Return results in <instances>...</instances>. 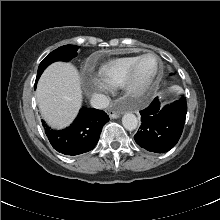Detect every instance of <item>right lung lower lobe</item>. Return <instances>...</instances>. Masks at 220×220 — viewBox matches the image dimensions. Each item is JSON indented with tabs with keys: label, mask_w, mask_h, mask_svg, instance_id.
Returning <instances> with one entry per match:
<instances>
[{
	"label": "right lung lower lobe",
	"mask_w": 220,
	"mask_h": 220,
	"mask_svg": "<svg viewBox=\"0 0 220 220\" xmlns=\"http://www.w3.org/2000/svg\"><path fill=\"white\" fill-rule=\"evenodd\" d=\"M37 75L35 87L39 79ZM109 116L102 110L82 108L75 121L65 130L54 131L45 125L47 137L58 152L65 155H78L92 150L100 137Z\"/></svg>",
	"instance_id": "right-lung-lower-lobe-1"
}]
</instances>
